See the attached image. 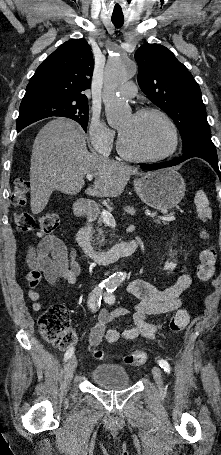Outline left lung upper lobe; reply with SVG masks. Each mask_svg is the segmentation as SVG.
<instances>
[{
    "label": "left lung upper lobe",
    "mask_w": 221,
    "mask_h": 455,
    "mask_svg": "<svg viewBox=\"0 0 221 455\" xmlns=\"http://www.w3.org/2000/svg\"><path fill=\"white\" fill-rule=\"evenodd\" d=\"M135 60L141 90L174 120L183 151L196 144L214 145L199 85L174 54L160 44H145Z\"/></svg>",
    "instance_id": "obj_1"
}]
</instances>
